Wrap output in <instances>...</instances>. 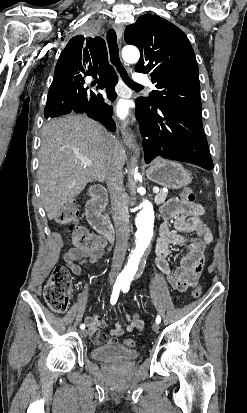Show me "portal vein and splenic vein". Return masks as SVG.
<instances>
[{"label": "portal vein and splenic vein", "instance_id": "portal-vein-and-splenic-vein-1", "mask_svg": "<svg viewBox=\"0 0 247 413\" xmlns=\"http://www.w3.org/2000/svg\"><path fill=\"white\" fill-rule=\"evenodd\" d=\"M82 162L83 164H85V166H90V164H92V160H87V158H83ZM153 192H159V188L153 186Z\"/></svg>", "mask_w": 247, "mask_h": 413}]
</instances>
